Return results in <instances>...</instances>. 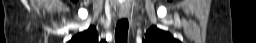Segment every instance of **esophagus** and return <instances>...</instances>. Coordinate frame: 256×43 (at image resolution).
Instances as JSON below:
<instances>
[{"instance_id":"esophagus-1","label":"esophagus","mask_w":256,"mask_h":43,"mask_svg":"<svg viewBox=\"0 0 256 43\" xmlns=\"http://www.w3.org/2000/svg\"><path fill=\"white\" fill-rule=\"evenodd\" d=\"M129 15V11L127 9L121 8L119 11V17L120 18H127Z\"/></svg>"}]
</instances>
